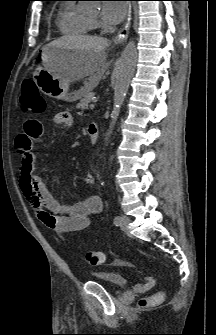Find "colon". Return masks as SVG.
Masks as SVG:
<instances>
[{
	"mask_svg": "<svg viewBox=\"0 0 216 335\" xmlns=\"http://www.w3.org/2000/svg\"><path fill=\"white\" fill-rule=\"evenodd\" d=\"M21 108L24 112L39 115L45 112L46 102L33 80H25L22 84ZM38 136V135H36ZM85 260L89 265L98 266L104 263L105 255L100 251L87 249L84 252ZM159 296L142 298L139 302L141 307L154 304Z\"/></svg>",
	"mask_w": 216,
	"mask_h": 335,
	"instance_id": "obj_1",
	"label": "colon"
}]
</instances>
